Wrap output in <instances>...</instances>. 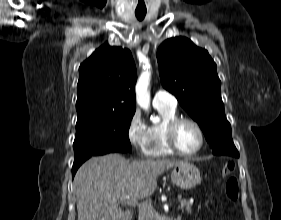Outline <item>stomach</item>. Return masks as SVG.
<instances>
[{
	"label": "stomach",
	"instance_id": "obj_1",
	"mask_svg": "<svg viewBox=\"0 0 281 220\" xmlns=\"http://www.w3.org/2000/svg\"><path fill=\"white\" fill-rule=\"evenodd\" d=\"M172 182L182 189H191L201 180L198 168L188 162L174 166L171 171Z\"/></svg>",
	"mask_w": 281,
	"mask_h": 220
}]
</instances>
